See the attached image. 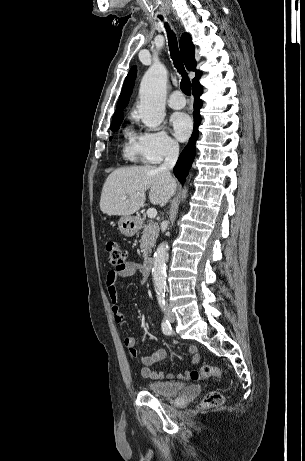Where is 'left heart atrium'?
I'll return each mask as SVG.
<instances>
[{"label": "left heart atrium", "mask_w": 305, "mask_h": 461, "mask_svg": "<svg viewBox=\"0 0 305 461\" xmlns=\"http://www.w3.org/2000/svg\"><path fill=\"white\" fill-rule=\"evenodd\" d=\"M174 135L181 141L186 140L192 131V121L184 113H175L170 119Z\"/></svg>", "instance_id": "obj_1"}]
</instances>
